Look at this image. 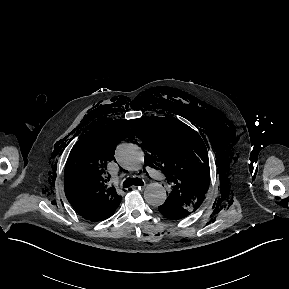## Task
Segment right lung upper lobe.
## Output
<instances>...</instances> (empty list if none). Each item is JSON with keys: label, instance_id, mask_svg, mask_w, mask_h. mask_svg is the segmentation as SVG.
I'll return each mask as SVG.
<instances>
[{"label": "right lung upper lobe", "instance_id": "right-lung-upper-lobe-1", "mask_svg": "<svg viewBox=\"0 0 289 289\" xmlns=\"http://www.w3.org/2000/svg\"><path fill=\"white\" fill-rule=\"evenodd\" d=\"M127 120L94 126L74 146L65 167V193L72 207L85 219L98 222L109 218L122 199L108 187L106 163L113 159L116 145L130 132Z\"/></svg>", "mask_w": 289, "mask_h": 289}]
</instances>
